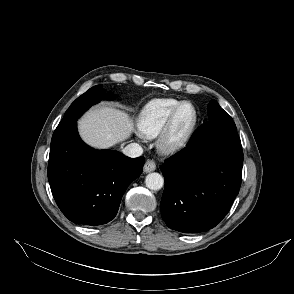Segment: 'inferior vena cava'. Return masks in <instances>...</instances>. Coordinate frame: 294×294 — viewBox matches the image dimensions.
I'll use <instances>...</instances> for the list:
<instances>
[{"label":"inferior vena cava","mask_w":294,"mask_h":294,"mask_svg":"<svg viewBox=\"0 0 294 294\" xmlns=\"http://www.w3.org/2000/svg\"><path fill=\"white\" fill-rule=\"evenodd\" d=\"M123 154L130 157V158H136L142 155L143 149L142 147L137 143H131L128 144L125 148H123Z\"/></svg>","instance_id":"1"}]
</instances>
